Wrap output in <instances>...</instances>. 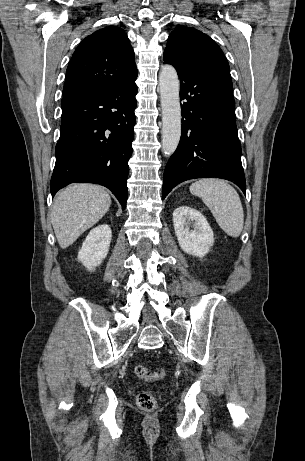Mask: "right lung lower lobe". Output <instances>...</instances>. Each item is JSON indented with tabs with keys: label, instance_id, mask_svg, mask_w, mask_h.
<instances>
[{
	"label": "right lung lower lobe",
	"instance_id": "right-lung-lower-lobe-1",
	"mask_svg": "<svg viewBox=\"0 0 305 461\" xmlns=\"http://www.w3.org/2000/svg\"><path fill=\"white\" fill-rule=\"evenodd\" d=\"M136 78L107 90L62 99L60 138L50 183L52 197L72 182L95 183L110 189L125 209Z\"/></svg>",
	"mask_w": 305,
	"mask_h": 461
}]
</instances>
